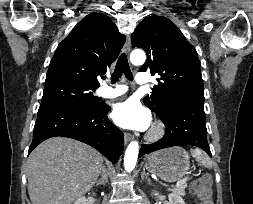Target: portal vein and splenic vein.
<instances>
[{
    "instance_id": "obj_1",
    "label": "portal vein and splenic vein",
    "mask_w": 253,
    "mask_h": 204,
    "mask_svg": "<svg viewBox=\"0 0 253 204\" xmlns=\"http://www.w3.org/2000/svg\"><path fill=\"white\" fill-rule=\"evenodd\" d=\"M185 182H186V179H182L180 182H178V184L176 186H173V187H178L180 185H183V184H185Z\"/></svg>"
}]
</instances>
